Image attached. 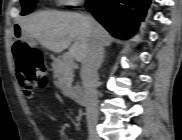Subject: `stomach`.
<instances>
[{"label":"stomach","instance_id":"obj_1","mask_svg":"<svg viewBox=\"0 0 182 140\" xmlns=\"http://www.w3.org/2000/svg\"><path fill=\"white\" fill-rule=\"evenodd\" d=\"M12 30H23V25H20V22H13ZM16 41H28L30 45L35 44V40L32 39V36H26V31H15L14 32Z\"/></svg>","mask_w":182,"mask_h":140}]
</instances>
